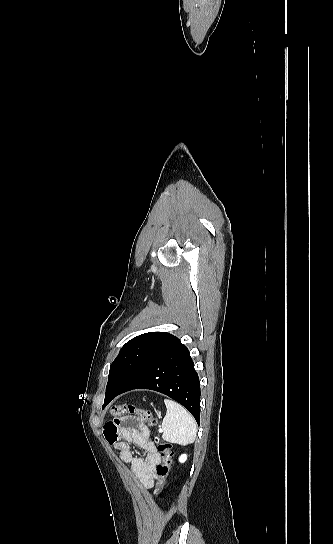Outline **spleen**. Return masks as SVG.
<instances>
[{
  "label": "spleen",
  "mask_w": 333,
  "mask_h": 544,
  "mask_svg": "<svg viewBox=\"0 0 333 544\" xmlns=\"http://www.w3.org/2000/svg\"><path fill=\"white\" fill-rule=\"evenodd\" d=\"M166 415L162 421L165 441L187 445L193 443L196 438L197 427L194 418L180 404L165 399Z\"/></svg>",
  "instance_id": "1"
}]
</instances>
